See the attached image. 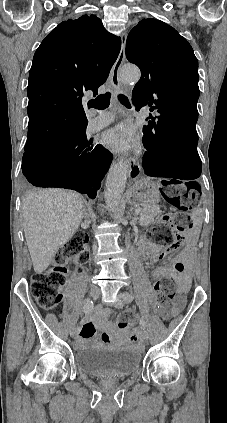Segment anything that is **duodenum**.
I'll use <instances>...</instances> for the list:
<instances>
[{"instance_id": "410a0bca", "label": "duodenum", "mask_w": 227, "mask_h": 423, "mask_svg": "<svg viewBox=\"0 0 227 423\" xmlns=\"http://www.w3.org/2000/svg\"><path fill=\"white\" fill-rule=\"evenodd\" d=\"M146 243L147 242H142L140 245V251L141 253L144 255L145 251H146Z\"/></svg>"}]
</instances>
